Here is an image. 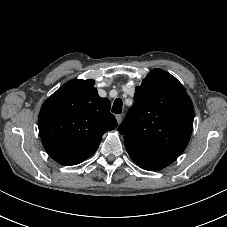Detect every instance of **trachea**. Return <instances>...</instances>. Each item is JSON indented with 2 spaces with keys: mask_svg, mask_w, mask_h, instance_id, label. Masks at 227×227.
Instances as JSON below:
<instances>
[{
  "mask_svg": "<svg viewBox=\"0 0 227 227\" xmlns=\"http://www.w3.org/2000/svg\"><path fill=\"white\" fill-rule=\"evenodd\" d=\"M112 112L115 114H120L122 112V100L120 98L115 99Z\"/></svg>",
  "mask_w": 227,
  "mask_h": 227,
  "instance_id": "trachea-1",
  "label": "trachea"
}]
</instances>
